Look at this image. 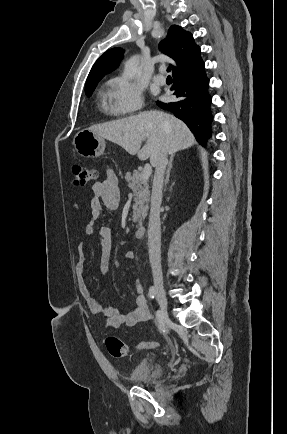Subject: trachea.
<instances>
[{"mask_svg": "<svg viewBox=\"0 0 287 434\" xmlns=\"http://www.w3.org/2000/svg\"><path fill=\"white\" fill-rule=\"evenodd\" d=\"M171 71V68L170 67H168L167 68V72L169 73ZM168 78H171V76L170 75H168Z\"/></svg>", "mask_w": 287, "mask_h": 434, "instance_id": "1", "label": "trachea"}]
</instances>
